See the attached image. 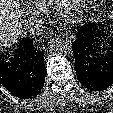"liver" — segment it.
Returning a JSON list of instances; mask_svg holds the SVG:
<instances>
[{"mask_svg":"<svg viewBox=\"0 0 113 113\" xmlns=\"http://www.w3.org/2000/svg\"><path fill=\"white\" fill-rule=\"evenodd\" d=\"M19 0H0V48H9L22 35Z\"/></svg>","mask_w":113,"mask_h":113,"instance_id":"6515ba94","label":"liver"}]
</instances>
